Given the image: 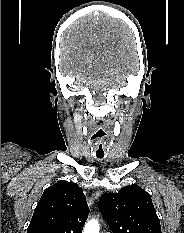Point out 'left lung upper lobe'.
Instances as JSON below:
<instances>
[{
    "label": "left lung upper lobe",
    "instance_id": "left-lung-upper-lobe-1",
    "mask_svg": "<svg viewBox=\"0 0 184 233\" xmlns=\"http://www.w3.org/2000/svg\"><path fill=\"white\" fill-rule=\"evenodd\" d=\"M98 207L113 233H162L150 194L137 184L105 193Z\"/></svg>",
    "mask_w": 184,
    "mask_h": 233
}]
</instances>
